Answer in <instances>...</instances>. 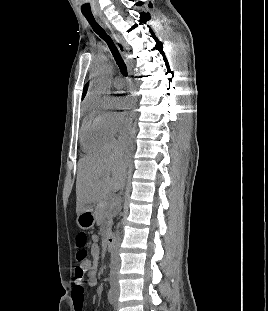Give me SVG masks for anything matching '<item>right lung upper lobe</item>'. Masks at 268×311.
Returning <instances> with one entry per match:
<instances>
[{
  "instance_id": "cb5924a9",
  "label": "right lung upper lobe",
  "mask_w": 268,
  "mask_h": 311,
  "mask_svg": "<svg viewBox=\"0 0 268 311\" xmlns=\"http://www.w3.org/2000/svg\"><path fill=\"white\" fill-rule=\"evenodd\" d=\"M87 88H88V84H86L85 87H84V90H83V98H84V96L86 95Z\"/></svg>"
}]
</instances>
